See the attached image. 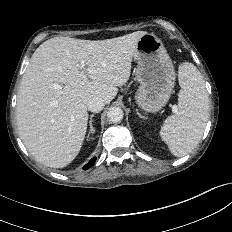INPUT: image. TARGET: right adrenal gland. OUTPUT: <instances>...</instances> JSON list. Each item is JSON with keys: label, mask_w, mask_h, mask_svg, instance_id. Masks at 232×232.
<instances>
[{"label": "right adrenal gland", "mask_w": 232, "mask_h": 232, "mask_svg": "<svg viewBox=\"0 0 232 232\" xmlns=\"http://www.w3.org/2000/svg\"><path fill=\"white\" fill-rule=\"evenodd\" d=\"M94 117V114H91L90 115V121H89V136H90V134H93L94 133V128H93V124H92V122H93V120H92V118Z\"/></svg>", "instance_id": "1"}]
</instances>
